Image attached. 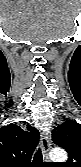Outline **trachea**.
Listing matches in <instances>:
<instances>
[{
	"instance_id": "trachea-1",
	"label": "trachea",
	"mask_w": 81,
	"mask_h": 167,
	"mask_svg": "<svg viewBox=\"0 0 81 167\" xmlns=\"http://www.w3.org/2000/svg\"><path fill=\"white\" fill-rule=\"evenodd\" d=\"M33 161L34 162H41L42 161V153H41L40 148L36 151Z\"/></svg>"
}]
</instances>
